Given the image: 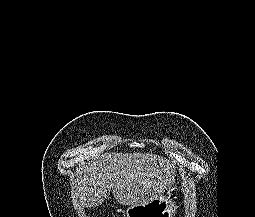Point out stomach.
I'll return each mask as SVG.
<instances>
[{
    "label": "stomach",
    "instance_id": "0dacf381",
    "mask_svg": "<svg viewBox=\"0 0 255 217\" xmlns=\"http://www.w3.org/2000/svg\"><path fill=\"white\" fill-rule=\"evenodd\" d=\"M177 209L171 195L159 196L143 205H131L126 211V217H173Z\"/></svg>",
    "mask_w": 255,
    "mask_h": 217
}]
</instances>
